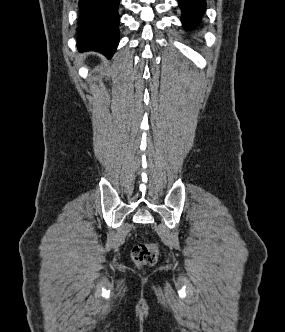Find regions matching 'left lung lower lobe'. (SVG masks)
Masks as SVG:
<instances>
[{"label":"left lung lower lobe","mask_w":285,"mask_h":332,"mask_svg":"<svg viewBox=\"0 0 285 332\" xmlns=\"http://www.w3.org/2000/svg\"><path fill=\"white\" fill-rule=\"evenodd\" d=\"M182 9V23L186 29L194 28L205 11V0H178Z\"/></svg>","instance_id":"left-lung-lower-lobe-1"}]
</instances>
